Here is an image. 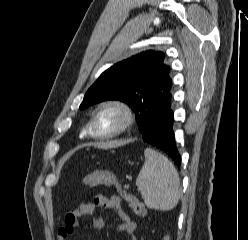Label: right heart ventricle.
Returning <instances> with one entry per match:
<instances>
[{"label": "right heart ventricle", "mask_w": 248, "mask_h": 240, "mask_svg": "<svg viewBox=\"0 0 248 240\" xmlns=\"http://www.w3.org/2000/svg\"><path fill=\"white\" fill-rule=\"evenodd\" d=\"M87 133H89V126L82 131V135H86Z\"/></svg>", "instance_id": "1"}]
</instances>
